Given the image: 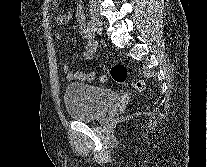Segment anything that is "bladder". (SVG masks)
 <instances>
[{"instance_id":"bladder-1","label":"bladder","mask_w":207,"mask_h":167,"mask_svg":"<svg viewBox=\"0 0 207 167\" xmlns=\"http://www.w3.org/2000/svg\"><path fill=\"white\" fill-rule=\"evenodd\" d=\"M115 91L82 82L69 83L63 93L68 114L78 121L100 117L117 100Z\"/></svg>"}]
</instances>
